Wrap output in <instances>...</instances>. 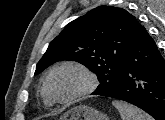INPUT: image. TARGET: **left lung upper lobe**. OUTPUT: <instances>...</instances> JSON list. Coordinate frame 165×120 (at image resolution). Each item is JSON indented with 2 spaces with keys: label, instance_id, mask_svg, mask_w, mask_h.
Instances as JSON below:
<instances>
[{
  "label": "left lung upper lobe",
  "instance_id": "5c2ea615",
  "mask_svg": "<svg viewBox=\"0 0 165 120\" xmlns=\"http://www.w3.org/2000/svg\"><path fill=\"white\" fill-rule=\"evenodd\" d=\"M145 31L125 9L99 6L66 25L48 46L35 74L57 61H77L98 77L93 94L105 96L119 86L125 58Z\"/></svg>",
  "mask_w": 165,
  "mask_h": 120
}]
</instances>
